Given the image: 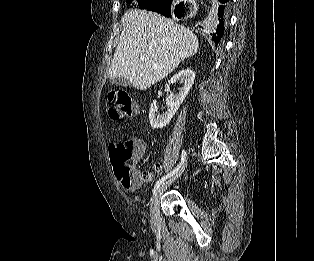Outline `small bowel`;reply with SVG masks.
Returning <instances> with one entry per match:
<instances>
[{
	"label": "small bowel",
	"mask_w": 314,
	"mask_h": 261,
	"mask_svg": "<svg viewBox=\"0 0 314 261\" xmlns=\"http://www.w3.org/2000/svg\"><path fill=\"white\" fill-rule=\"evenodd\" d=\"M139 145L141 146V152L136 156V159H141L144 151H145V145L142 141L138 140ZM163 169V165L161 162H156L153 165V170L152 172H142L137 170L138 172H140L143 175V182H150L151 180L154 179L156 174H159ZM142 182V183H143Z\"/></svg>",
	"instance_id": "1"
}]
</instances>
